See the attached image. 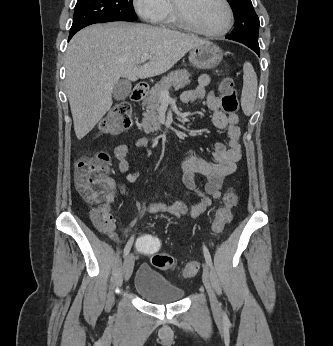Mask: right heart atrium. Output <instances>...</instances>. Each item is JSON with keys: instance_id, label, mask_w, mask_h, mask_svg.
<instances>
[{"instance_id": "right-heart-atrium-1", "label": "right heart atrium", "mask_w": 333, "mask_h": 346, "mask_svg": "<svg viewBox=\"0 0 333 346\" xmlns=\"http://www.w3.org/2000/svg\"><path fill=\"white\" fill-rule=\"evenodd\" d=\"M139 16L150 23H160L169 11V0H133Z\"/></svg>"}]
</instances>
